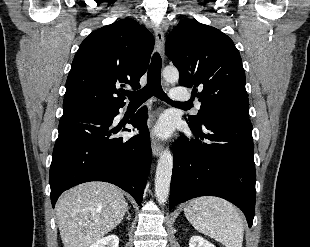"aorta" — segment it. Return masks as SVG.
Wrapping results in <instances>:
<instances>
[{"label":"aorta","instance_id":"aorta-1","mask_svg":"<svg viewBox=\"0 0 310 247\" xmlns=\"http://www.w3.org/2000/svg\"><path fill=\"white\" fill-rule=\"evenodd\" d=\"M163 77L167 82L173 83L178 81L179 72L174 67H166L163 70ZM172 169L173 156L166 149L160 154L155 174V196L159 205H164L168 199Z\"/></svg>","mask_w":310,"mask_h":247}]
</instances>
